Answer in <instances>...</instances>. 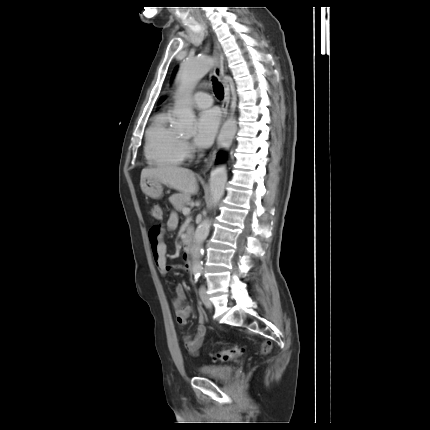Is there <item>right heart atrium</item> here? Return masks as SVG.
I'll return each instance as SVG.
<instances>
[{
    "label": "right heart atrium",
    "instance_id": "right-heart-atrium-1",
    "mask_svg": "<svg viewBox=\"0 0 430 430\" xmlns=\"http://www.w3.org/2000/svg\"><path fill=\"white\" fill-rule=\"evenodd\" d=\"M182 147H183V150H184V152H185L186 154H189V153H191V152H192V147L190 146V144H189L188 142L183 141V142H182Z\"/></svg>",
    "mask_w": 430,
    "mask_h": 430
}]
</instances>
